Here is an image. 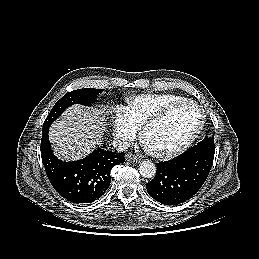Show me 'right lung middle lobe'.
I'll use <instances>...</instances> for the list:
<instances>
[{"mask_svg":"<svg viewBox=\"0 0 259 259\" xmlns=\"http://www.w3.org/2000/svg\"><path fill=\"white\" fill-rule=\"evenodd\" d=\"M103 89L94 88H82L66 93L52 108L47 116L43 128L50 127L52 122L58 118L63 111L73 104H81L85 106H91L97 102V95L101 93Z\"/></svg>","mask_w":259,"mask_h":259,"instance_id":"obj_1","label":"right lung middle lobe"}]
</instances>
